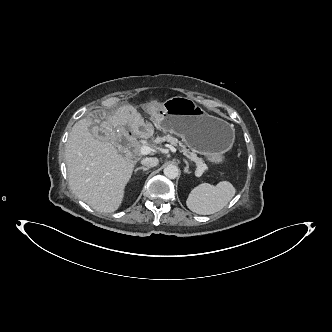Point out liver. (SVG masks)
Instances as JSON below:
<instances>
[{"mask_svg": "<svg viewBox=\"0 0 332 332\" xmlns=\"http://www.w3.org/2000/svg\"><path fill=\"white\" fill-rule=\"evenodd\" d=\"M121 123L108 117L102 126L109 135ZM92 119L73 126L65 148L69 185L74 194L98 212L116 211L124 198L135 163L123 157L108 141L96 139L89 130Z\"/></svg>", "mask_w": 332, "mask_h": 332, "instance_id": "6515ba94", "label": "liver"}]
</instances>
